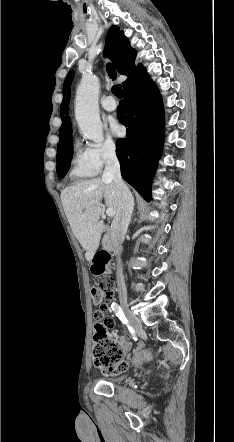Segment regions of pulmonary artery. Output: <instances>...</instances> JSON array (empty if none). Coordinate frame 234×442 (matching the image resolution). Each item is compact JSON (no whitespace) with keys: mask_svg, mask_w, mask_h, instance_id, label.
<instances>
[{"mask_svg":"<svg viewBox=\"0 0 234 442\" xmlns=\"http://www.w3.org/2000/svg\"><path fill=\"white\" fill-rule=\"evenodd\" d=\"M102 107L106 110V111H114L117 108V103L114 100L113 97L108 96L106 97L103 101H102Z\"/></svg>","mask_w":234,"mask_h":442,"instance_id":"obj_1","label":"pulmonary artery"}]
</instances>
